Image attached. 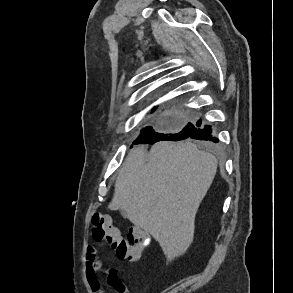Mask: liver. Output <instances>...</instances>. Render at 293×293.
<instances>
[{"instance_id": "obj_1", "label": "liver", "mask_w": 293, "mask_h": 293, "mask_svg": "<svg viewBox=\"0 0 293 293\" xmlns=\"http://www.w3.org/2000/svg\"><path fill=\"white\" fill-rule=\"evenodd\" d=\"M217 159L187 142L160 141L126 157L115 183L111 210L122 209L149 233L167 258L183 255L193 241L195 216L217 170Z\"/></svg>"}]
</instances>
